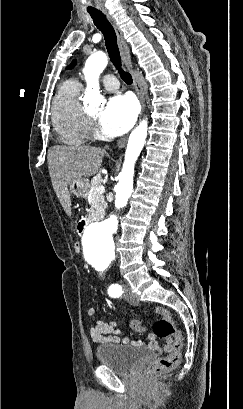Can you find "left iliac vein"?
<instances>
[{"mask_svg":"<svg viewBox=\"0 0 243 409\" xmlns=\"http://www.w3.org/2000/svg\"><path fill=\"white\" fill-rule=\"evenodd\" d=\"M122 287L125 299L132 305H138L139 299L131 292V289L128 286V284H123Z\"/></svg>","mask_w":243,"mask_h":409,"instance_id":"4c4485c4","label":"left iliac vein"}]
</instances>
